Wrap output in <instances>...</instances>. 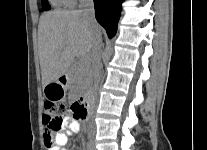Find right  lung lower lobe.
I'll return each mask as SVG.
<instances>
[{"instance_id":"98d812e1","label":"right lung lower lobe","mask_w":207,"mask_h":150,"mask_svg":"<svg viewBox=\"0 0 207 150\" xmlns=\"http://www.w3.org/2000/svg\"><path fill=\"white\" fill-rule=\"evenodd\" d=\"M123 0H94L97 21L106 29L109 38L117 30Z\"/></svg>"}]
</instances>
